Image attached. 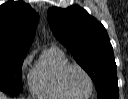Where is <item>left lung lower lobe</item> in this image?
Segmentation results:
<instances>
[{"mask_svg":"<svg viewBox=\"0 0 128 99\" xmlns=\"http://www.w3.org/2000/svg\"><path fill=\"white\" fill-rule=\"evenodd\" d=\"M118 98H119L118 92L110 93L103 97V99H118Z\"/></svg>","mask_w":128,"mask_h":99,"instance_id":"1","label":"left lung lower lobe"}]
</instances>
